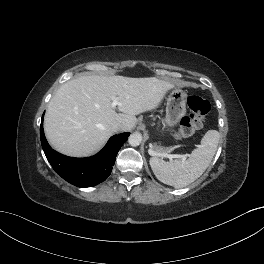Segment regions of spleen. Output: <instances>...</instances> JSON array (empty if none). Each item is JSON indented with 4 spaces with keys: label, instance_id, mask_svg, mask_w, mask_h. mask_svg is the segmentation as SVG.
I'll return each mask as SVG.
<instances>
[{
    "label": "spleen",
    "instance_id": "obj_1",
    "mask_svg": "<svg viewBox=\"0 0 264 264\" xmlns=\"http://www.w3.org/2000/svg\"><path fill=\"white\" fill-rule=\"evenodd\" d=\"M220 134L208 130L201 139V145L189 157L164 161L157 157L150 159V166L156 178L174 188H183L198 179L211 163L217 150Z\"/></svg>",
    "mask_w": 264,
    "mask_h": 264
}]
</instances>
